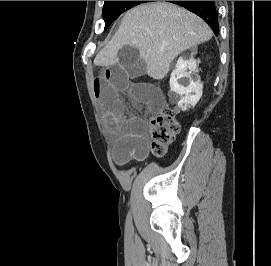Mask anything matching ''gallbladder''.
<instances>
[{"mask_svg": "<svg viewBox=\"0 0 271 266\" xmlns=\"http://www.w3.org/2000/svg\"><path fill=\"white\" fill-rule=\"evenodd\" d=\"M118 64L124 68L130 78L145 75L147 66L140 57L139 50L132 45L122 47L118 52Z\"/></svg>", "mask_w": 271, "mask_h": 266, "instance_id": "1", "label": "gallbladder"}]
</instances>
